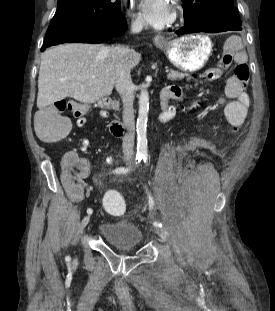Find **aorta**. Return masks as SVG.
Returning a JSON list of instances; mask_svg holds the SVG:
<instances>
[{
  "instance_id": "762f6f07",
  "label": "aorta",
  "mask_w": 275,
  "mask_h": 311,
  "mask_svg": "<svg viewBox=\"0 0 275 311\" xmlns=\"http://www.w3.org/2000/svg\"><path fill=\"white\" fill-rule=\"evenodd\" d=\"M148 110H149V94L146 87L144 86L139 96V111L136 125L138 136V144H137L138 153H145L147 151L146 127H147Z\"/></svg>"
}]
</instances>
